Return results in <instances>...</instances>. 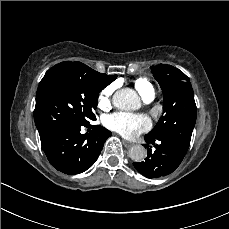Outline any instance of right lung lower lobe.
I'll return each instance as SVG.
<instances>
[{"instance_id":"1","label":"right lung lower lobe","mask_w":229,"mask_h":229,"mask_svg":"<svg viewBox=\"0 0 229 229\" xmlns=\"http://www.w3.org/2000/svg\"><path fill=\"white\" fill-rule=\"evenodd\" d=\"M82 126L91 127V132L81 134ZM111 135L109 130L99 125L70 124L58 129L41 144L55 169L73 175L86 171L95 163L104 142Z\"/></svg>"}]
</instances>
